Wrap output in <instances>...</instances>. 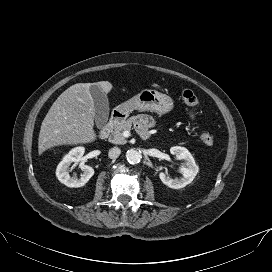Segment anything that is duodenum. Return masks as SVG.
Masks as SVG:
<instances>
[{
  "mask_svg": "<svg viewBox=\"0 0 272 272\" xmlns=\"http://www.w3.org/2000/svg\"><path fill=\"white\" fill-rule=\"evenodd\" d=\"M124 119V112L121 109L113 111L107 123L99 131L101 138H106L115 126H117Z\"/></svg>",
  "mask_w": 272,
  "mask_h": 272,
  "instance_id": "410a0bca",
  "label": "duodenum"
}]
</instances>
